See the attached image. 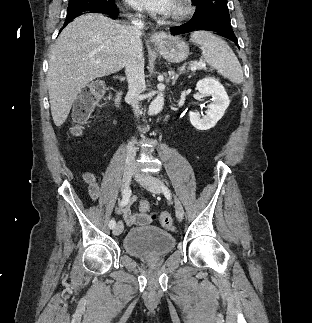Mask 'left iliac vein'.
Instances as JSON below:
<instances>
[{
    "mask_svg": "<svg viewBox=\"0 0 312 323\" xmlns=\"http://www.w3.org/2000/svg\"><path fill=\"white\" fill-rule=\"evenodd\" d=\"M135 178L136 180L145 188H147L149 191L154 193H160V192H169L164 185V182L156 177H153L149 174L142 173L135 169ZM174 197L175 202V209H176V217L179 221H182L184 217V209L182 206V203L178 198Z\"/></svg>",
    "mask_w": 312,
    "mask_h": 323,
    "instance_id": "obj_1",
    "label": "left iliac vein"
}]
</instances>
